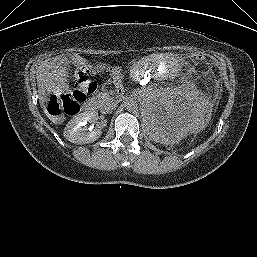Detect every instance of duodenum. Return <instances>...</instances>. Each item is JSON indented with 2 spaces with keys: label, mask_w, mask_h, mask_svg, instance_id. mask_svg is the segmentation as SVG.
<instances>
[{
  "label": "duodenum",
  "mask_w": 257,
  "mask_h": 257,
  "mask_svg": "<svg viewBox=\"0 0 257 257\" xmlns=\"http://www.w3.org/2000/svg\"><path fill=\"white\" fill-rule=\"evenodd\" d=\"M124 99V96L122 94H120L119 96H117V100L118 101H122ZM84 111L86 113H92L95 110V105L93 102H88L84 105Z\"/></svg>",
  "instance_id": "410a0bca"
}]
</instances>
